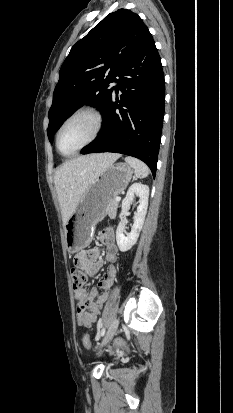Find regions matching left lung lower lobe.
Returning <instances> with one entry per match:
<instances>
[{
	"label": "left lung lower lobe",
	"instance_id": "0a47b994",
	"mask_svg": "<svg viewBox=\"0 0 233 413\" xmlns=\"http://www.w3.org/2000/svg\"><path fill=\"white\" fill-rule=\"evenodd\" d=\"M119 77L104 112L103 130L81 153L116 152L133 156L145 162L155 177L164 117L165 81L161 59L149 31Z\"/></svg>",
	"mask_w": 233,
	"mask_h": 413
}]
</instances>
